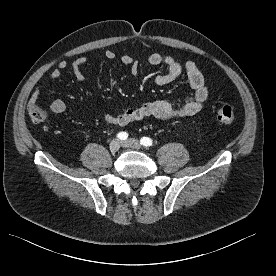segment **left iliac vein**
<instances>
[{"instance_id":"4c4485c4","label":"left iliac vein","mask_w":276,"mask_h":276,"mask_svg":"<svg viewBox=\"0 0 276 276\" xmlns=\"http://www.w3.org/2000/svg\"><path fill=\"white\" fill-rule=\"evenodd\" d=\"M122 146L123 147H130V148H133V149H140L141 148V143L137 139L130 138L128 140L123 141Z\"/></svg>"}]
</instances>
